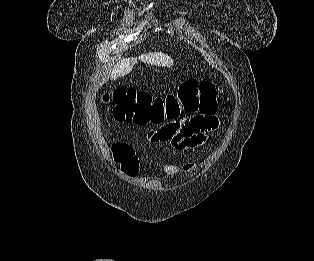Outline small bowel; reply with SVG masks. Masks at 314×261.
Wrapping results in <instances>:
<instances>
[{
	"mask_svg": "<svg viewBox=\"0 0 314 261\" xmlns=\"http://www.w3.org/2000/svg\"><path fill=\"white\" fill-rule=\"evenodd\" d=\"M221 121L215 110L205 112V109H194V115L184 113L176 120H165L158 129L146 133V140H156L160 148H170L172 151H187L205 143L207 135L220 128ZM163 140V141H161ZM197 169L194 163L182 166L166 165L165 172L173 177L178 172L191 173Z\"/></svg>",
	"mask_w": 314,
	"mask_h": 261,
	"instance_id": "small-bowel-1",
	"label": "small bowel"
}]
</instances>
